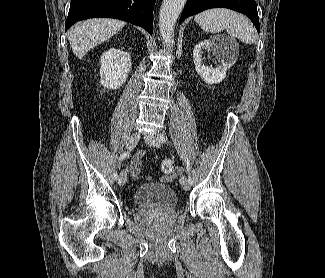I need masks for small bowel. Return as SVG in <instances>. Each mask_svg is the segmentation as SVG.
<instances>
[{
    "label": "small bowel",
    "instance_id": "c3829d8e",
    "mask_svg": "<svg viewBox=\"0 0 325 278\" xmlns=\"http://www.w3.org/2000/svg\"><path fill=\"white\" fill-rule=\"evenodd\" d=\"M145 155V151H139L130 161L129 172L133 180H139L141 178L140 174V162L141 158ZM182 173V170L177 169L174 173V177H179Z\"/></svg>",
    "mask_w": 325,
    "mask_h": 278
}]
</instances>
